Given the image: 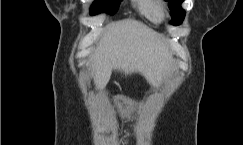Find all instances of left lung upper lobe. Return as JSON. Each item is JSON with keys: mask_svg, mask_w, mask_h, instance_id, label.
<instances>
[{"mask_svg": "<svg viewBox=\"0 0 243 145\" xmlns=\"http://www.w3.org/2000/svg\"><path fill=\"white\" fill-rule=\"evenodd\" d=\"M169 1V8L172 13L171 23L173 25H179L182 23L185 17V11L181 8L183 0H166Z\"/></svg>", "mask_w": 243, "mask_h": 145, "instance_id": "5c2ea615", "label": "left lung upper lobe"}]
</instances>
